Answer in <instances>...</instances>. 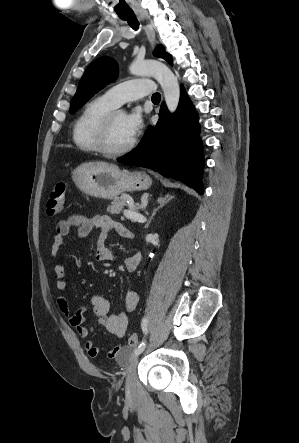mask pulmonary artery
I'll use <instances>...</instances> for the list:
<instances>
[{
  "instance_id": "e3ab8cb5",
  "label": "pulmonary artery",
  "mask_w": 299,
  "mask_h": 443,
  "mask_svg": "<svg viewBox=\"0 0 299 443\" xmlns=\"http://www.w3.org/2000/svg\"><path fill=\"white\" fill-rule=\"evenodd\" d=\"M154 92V83L150 79H133L119 83L104 93V97L113 105L120 106L127 101H134Z\"/></svg>"
}]
</instances>
